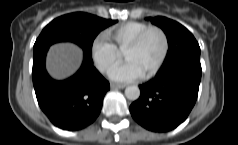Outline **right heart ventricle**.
Wrapping results in <instances>:
<instances>
[{"instance_id": "e07e8e85", "label": "right heart ventricle", "mask_w": 238, "mask_h": 145, "mask_svg": "<svg viewBox=\"0 0 238 145\" xmlns=\"http://www.w3.org/2000/svg\"><path fill=\"white\" fill-rule=\"evenodd\" d=\"M150 25L144 22L130 21L109 29L106 37L115 45V47L124 51L142 31Z\"/></svg>"}]
</instances>
